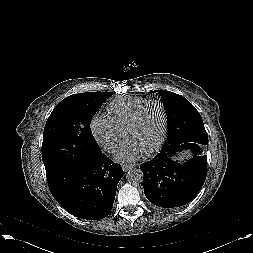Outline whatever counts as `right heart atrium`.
I'll list each match as a JSON object with an SVG mask.
<instances>
[{
    "label": "right heart atrium",
    "mask_w": 253,
    "mask_h": 253,
    "mask_svg": "<svg viewBox=\"0 0 253 253\" xmlns=\"http://www.w3.org/2000/svg\"><path fill=\"white\" fill-rule=\"evenodd\" d=\"M91 131L97 143L108 153L115 152L123 140V132L107 118L94 117Z\"/></svg>",
    "instance_id": "obj_1"
}]
</instances>
